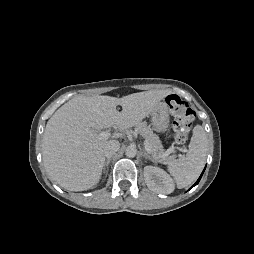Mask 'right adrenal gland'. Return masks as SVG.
Masks as SVG:
<instances>
[{
    "instance_id": "2a0ac1e0",
    "label": "right adrenal gland",
    "mask_w": 254,
    "mask_h": 254,
    "mask_svg": "<svg viewBox=\"0 0 254 254\" xmlns=\"http://www.w3.org/2000/svg\"><path fill=\"white\" fill-rule=\"evenodd\" d=\"M111 162V159L109 158L108 160L105 161L104 163V167H103V170L105 171L106 169V175L108 173V166H109V163Z\"/></svg>"
}]
</instances>
